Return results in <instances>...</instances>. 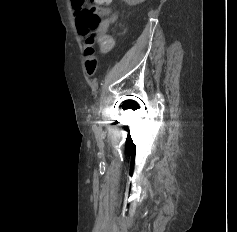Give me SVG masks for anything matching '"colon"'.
<instances>
[{
	"label": "colon",
	"mask_w": 237,
	"mask_h": 232,
	"mask_svg": "<svg viewBox=\"0 0 237 232\" xmlns=\"http://www.w3.org/2000/svg\"><path fill=\"white\" fill-rule=\"evenodd\" d=\"M76 13V24L89 44L98 43L102 50L108 51L112 47V40L105 34L96 7L91 6L87 0H71ZM91 2L106 5L111 0H91Z\"/></svg>",
	"instance_id": "obj_1"
}]
</instances>
